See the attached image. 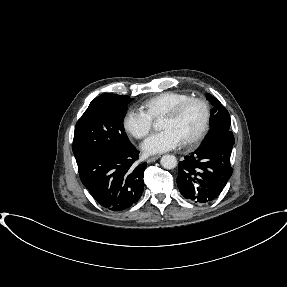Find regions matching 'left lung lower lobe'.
Returning a JSON list of instances; mask_svg holds the SVG:
<instances>
[{
	"mask_svg": "<svg viewBox=\"0 0 287 287\" xmlns=\"http://www.w3.org/2000/svg\"><path fill=\"white\" fill-rule=\"evenodd\" d=\"M233 144V133L227 131L179 162L177 184L185 198L208 203L221 193L232 175L230 155Z\"/></svg>",
	"mask_w": 287,
	"mask_h": 287,
	"instance_id": "1",
	"label": "left lung lower lobe"
}]
</instances>
